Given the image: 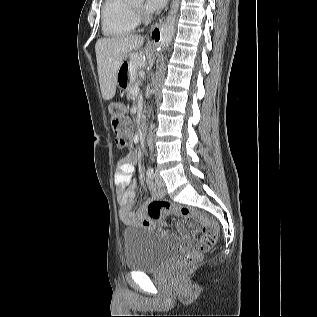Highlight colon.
Here are the masks:
<instances>
[{"mask_svg":"<svg viewBox=\"0 0 317 317\" xmlns=\"http://www.w3.org/2000/svg\"><path fill=\"white\" fill-rule=\"evenodd\" d=\"M108 111L117 146L120 148L131 147L132 128L124 104L119 101L112 102ZM147 213L152 220H160L164 214L172 213L187 220L197 217L205 221L206 225L200 238L192 240L186 252L178 260L176 268L179 271H185L197 264L218 241V230L215 223L205 215L188 207L170 201L155 200L149 203Z\"/></svg>","mask_w":317,"mask_h":317,"instance_id":"1","label":"colon"}]
</instances>
